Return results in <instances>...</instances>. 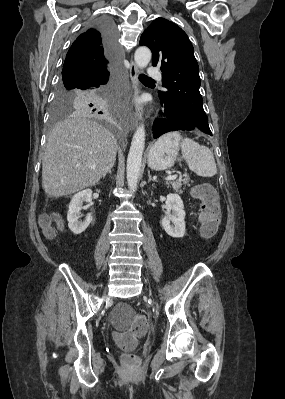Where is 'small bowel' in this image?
Listing matches in <instances>:
<instances>
[{"mask_svg":"<svg viewBox=\"0 0 285 399\" xmlns=\"http://www.w3.org/2000/svg\"><path fill=\"white\" fill-rule=\"evenodd\" d=\"M200 220L201 221L205 220V216L203 215V213L200 214ZM114 317H117V312L114 313Z\"/></svg>","mask_w":285,"mask_h":399,"instance_id":"obj_1","label":"small bowel"}]
</instances>
